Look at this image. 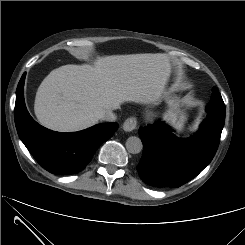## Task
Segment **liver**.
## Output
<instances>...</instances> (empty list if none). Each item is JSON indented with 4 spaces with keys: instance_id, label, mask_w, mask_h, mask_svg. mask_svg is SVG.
Returning a JSON list of instances; mask_svg holds the SVG:
<instances>
[{
    "instance_id": "1",
    "label": "liver",
    "mask_w": 245,
    "mask_h": 245,
    "mask_svg": "<svg viewBox=\"0 0 245 245\" xmlns=\"http://www.w3.org/2000/svg\"><path fill=\"white\" fill-rule=\"evenodd\" d=\"M170 73L165 54L97 57L92 64L64 65L40 84L34 102L39 123L74 132L98 123L124 102L151 104L165 91Z\"/></svg>"
}]
</instances>
